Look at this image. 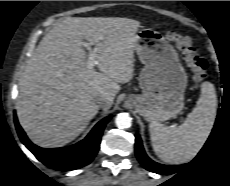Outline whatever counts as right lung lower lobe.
Here are the masks:
<instances>
[{
  "label": "right lung lower lobe",
  "instance_id": "right-lung-lower-lobe-1",
  "mask_svg": "<svg viewBox=\"0 0 230 186\" xmlns=\"http://www.w3.org/2000/svg\"><path fill=\"white\" fill-rule=\"evenodd\" d=\"M111 117L101 120L81 142L65 147L46 149L34 145L25 135L18 123L16 115L14 121L22 143L46 166L58 170L69 171L89 164L98 152L103 129Z\"/></svg>",
  "mask_w": 230,
  "mask_h": 186
}]
</instances>
